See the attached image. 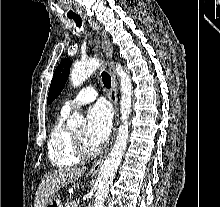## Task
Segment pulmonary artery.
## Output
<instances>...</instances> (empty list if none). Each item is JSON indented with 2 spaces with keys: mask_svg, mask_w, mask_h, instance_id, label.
<instances>
[{
  "mask_svg": "<svg viewBox=\"0 0 220 207\" xmlns=\"http://www.w3.org/2000/svg\"><path fill=\"white\" fill-rule=\"evenodd\" d=\"M98 93L93 85L82 88L74 97L68 99L62 107V112L69 113L72 109L87 104L96 99Z\"/></svg>",
  "mask_w": 220,
  "mask_h": 207,
  "instance_id": "pulmonary-artery-1",
  "label": "pulmonary artery"
}]
</instances>
